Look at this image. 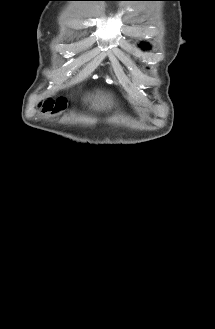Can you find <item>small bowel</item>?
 Masks as SVG:
<instances>
[{
	"label": "small bowel",
	"mask_w": 215,
	"mask_h": 329,
	"mask_svg": "<svg viewBox=\"0 0 215 329\" xmlns=\"http://www.w3.org/2000/svg\"><path fill=\"white\" fill-rule=\"evenodd\" d=\"M63 104H64V107H65V106H66V102H65V103H63ZM45 107H46V106H45ZM64 107H63V108H64ZM56 111H57V109H56Z\"/></svg>",
	"instance_id": "obj_1"
}]
</instances>
